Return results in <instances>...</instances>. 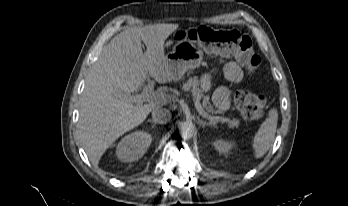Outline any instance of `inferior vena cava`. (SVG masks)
Instances as JSON below:
<instances>
[{
	"mask_svg": "<svg viewBox=\"0 0 348 206\" xmlns=\"http://www.w3.org/2000/svg\"><path fill=\"white\" fill-rule=\"evenodd\" d=\"M171 112L168 109L157 107L152 111V118L158 124H166L171 120Z\"/></svg>",
	"mask_w": 348,
	"mask_h": 206,
	"instance_id": "inferior-vena-cava-1",
	"label": "inferior vena cava"
}]
</instances>
